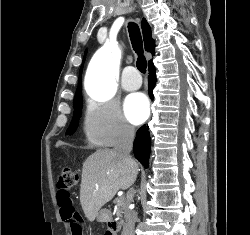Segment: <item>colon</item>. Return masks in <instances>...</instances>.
Segmentation results:
<instances>
[{"mask_svg":"<svg viewBox=\"0 0 250 235\" xmlns=\"http://www.w3.org/2000/svg\"><path fill=\"white\" fill-rule=\"evenodd\" d=\"M79 180L76 170L69 166H61L58 171V193L57 201L61 209V216L67 224H69L73 235H84L83 221L79 212L74 207L70 189L74 187Z\"/></svg>","mask_w":250,"mask_h":235,"instance_id":"obj_1","label":"colon"}]
</instances>
